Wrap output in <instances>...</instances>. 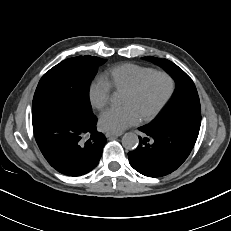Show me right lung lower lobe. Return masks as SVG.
Returning a JSON list of instances; mask_svg holds the SVG:
<instances>
[{
    "mask_svg": "<svg viewBox=\"0 0 231 231\" xmlns=\"http://www.w3.org/2000/svg\"><path fill=\"white\" fill-rule=\"evenodd\" d=\"M97 119L46 115L32 120L34 137L43 156L58 172L81 176L93 170L106 143L96 130Z\"/></svg>",
    "mask_w": 231,
    "mask_h": 231,
    "instance_id": "obj_1",
    "label": "right lung lower lobe"
}]
</instances>
